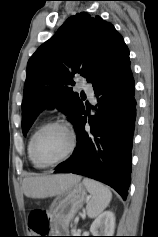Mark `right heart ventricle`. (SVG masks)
Here are the masks:
<instances>
[{
    "label": "right heart ventricle",
    "instance_id": "right-heart-ventricle-1",
    "mask_svg": "<svg viewBox=\"0 0 158 237\" xmlns=\"http://www.w3.org/2000/svg\"><path fill=\"white\" fill-rule=\"evenodd\" d=\"M36 131H37V129L34 130V131L32 132V134L30 135V138H29V140H28L27 150H28V157H29L30 161L32 162V164L34 165V167L40 169V168H43V167L37 165V164L33 161L32 157H31V141H32L33 135L35 134Z\"/></svg>",
    "mask_w": 158,
    "mask_h": 237
}]
</instances>
